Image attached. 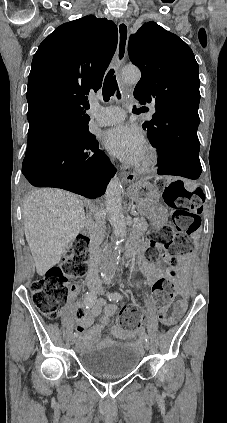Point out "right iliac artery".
I'll return each instance as SVG.
<instances>
[{
    "label": "right iliac artery",
    "mask_w": 227,
    "mask_h": 423,
    "mask_svg": "<svg viewBox=\"0 0 227 423\" xmlns=\"http://www.w3.org/2000/svg\"><path fill=\"white\" fill-rule=\"evenodd\" d=\"M96 299H97V296H96V294L94 293V292H86V294H85V300H84V305H85V307L88 309V308H91L94 304H95V302H96ZM78 336V333L77 332H74V337H77Z\"/></svg>",
    "instance_id": "right-iliac-artery-1"
}]
</instances>
